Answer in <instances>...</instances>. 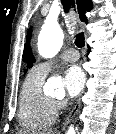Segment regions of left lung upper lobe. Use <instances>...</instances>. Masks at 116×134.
<instances>
[{
    "label": "left lung upper lobe",
    "mask_w": 116,
    "mask_h": 134,
    "mask_svg": "<svg viewBox=\"0 0 116 134\" xmlns=\"http://www.w3.org/2000/svg\"><path fill=\"white\" fill-rule=\"evenodd\" d=\"M30 37H31V32L29 31V32H28V35H27V39L29 40ZM34 61H35V59H34V57H33L32 54H31V55L29 56V61H28V67H29V68L33 65Z\"/></svg>",
    "instance_id": "5c2ea615"
}]
</instances>
